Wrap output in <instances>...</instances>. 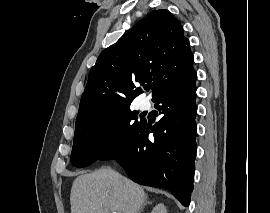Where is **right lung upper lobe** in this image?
I'll return each mask as SVG.
<instances>
[{
    "label": "right lung upper lobe",
    "mask_w": 270,
    "mask_h": 213,
    "mask_svg": "<svg viewBox=\"0 0 270 213\" xmlns=\"http://www.w3.org/2000/svg\"><path fill=\"white\" fill-rule=\"evenodd\" d=\"M183 28L167 10H153L99 55L80 100L76 123L131 104L153 82L152 99L192 68Z\"/></svg>",
    "instance_id": "cb5924a9"
}]
</instances>
